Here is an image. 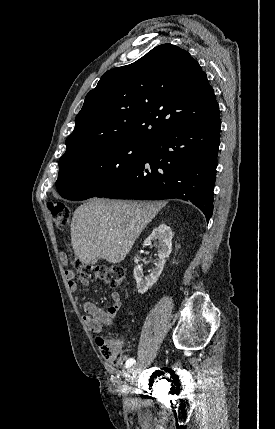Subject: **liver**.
Returning a JSON list of instances; mask_svg holds the SVG:
<instances>
[{
  "instance_id": "1",
  "label": "liver",
  "mask_w": 275,
  "mask_h": 429,
  "mask_svg": "<svg viewBox=\"0 0 275 429\" xmlns=\"http://www.w3.org/2000/svg\"><path fill=\"white\" fill-rule=\"evenodd\" d=\"M162 206V202L88 200L72 217L71 242L75 254L85 264L96 258L114 264L123 261Z\"/></svg>"
}]
</instances>
